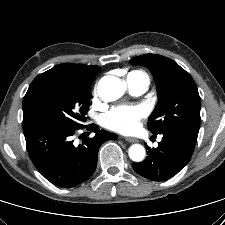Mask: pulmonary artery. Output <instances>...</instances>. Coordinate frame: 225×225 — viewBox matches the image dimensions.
<instances>
[{"mask_svg":"<svg viewBox=\"0 0 225 225\" xmlns=\"http://www.w3.org/2000/svg\"><path fill=\"white\" fill-rule=\"evenodd\" d=\"M126 83L130 93L133 95L143 94L149 87L148 78L137 73L129 74L126 78Z\"/></svg>","mask_w":225,"mask_h":225,"instance_id":"obj_1","label":"pulmonary artery"}]
</instances>
